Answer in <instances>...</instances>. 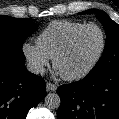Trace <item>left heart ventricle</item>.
<instances>
[{
  "mask_svg": "<svg viewBox=\"0 0 119 119\" xmlns=\"http://www.w3.org/2000/svg\"><path fill=\"white\" fill-rule=\"evenodd\" d=\"M101 45L100 32L88 28L81 32L70 50L59 60L57 71L61 75L76 74L85 69L98 53Z\"/></svg>",
  "mask_w": 119,
  "mask_h": 119,
  "instance_id": "left-heart-ventricle-1",
  "label": "left heart ventricle"
}]
</instances>
